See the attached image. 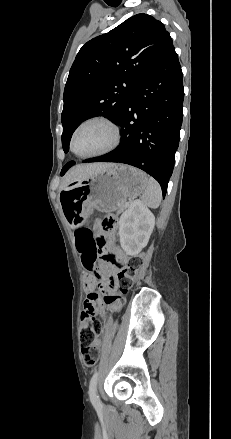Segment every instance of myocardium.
<instances>
[{"label": "myocardium", "instance_id": "myocardium-1", "mask_svg": "<svg viewBox=\"0 0 231 439\" xmlns=\"http://www.w3.org/2000/svg\"><path fill=\"white\" fill-rule=\"evenodd\" d=\"M92 122H99V123H103L106 126H108L112 132V140L111 143L105 147L104 149L94 152V153H90V154H78L75 150H74V139L76 136V133L79 131L80 128H82L84 125L92 123ZM121 129L119 127V125L110 117L105 116V115H93L90 116L88 118H85L84 120H82L81 122H79L75 128L73 129L71 136H70V141H69V147L71 152L77 156L78 158H82V159H88V158H96V157H100L103 155H106L112 151H114L120 144L121 142Z\"/></svg>", "mask_w": 231, "mask_h": 439}]
</instances>
